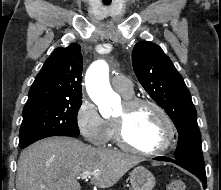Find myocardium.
Returning <instances> with one entry per match:
<instances>
[{"label": "myocardium", "instance_id": "f54148a6", "mask_svg": "<svg viewBox=\"0 0 221 190\" xmlns=\"http://www.w3.org/2000/svg\"><path fill=\"white\" fill-rule=\"evenodd\" d=\"M123 105L125 111L124 114L120 117H115L113 120L116 129L117 143L119 144L120 147H122L127 151L145 156L160 155L170 149L175 138V127L169 114L160 104H158L157 102L151 99L132 97L130 99H125ZM142 105H147L154 108L161 116L166 128V135L163 143L159 147L153 149H140L134 146L127 137V132H126L127 116L135 108Z\"/></svg>", "mask_w": 221, "mask_h": 190}]
</instances>
